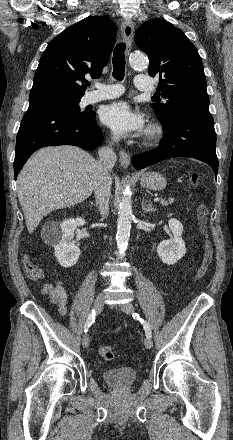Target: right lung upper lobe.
<instances>
[{
	"label": "right lung upper lobe",
	"mask_w": 233,
	"mask_h": 440,
	"mask_svg": "<svg viewBox=\"0 0 233 440\" xmlns=\"http://www.w3.org/2000/svg\"><path fill=\"white\" fill-rule=\"evenodd\" d=\"M116 25L107 17H87L52 39L40 58L29 96V106L78 99L86 74L101 75L116 39Z\"/></svg>",
	"instance_id": "1"
}]
</instances>
